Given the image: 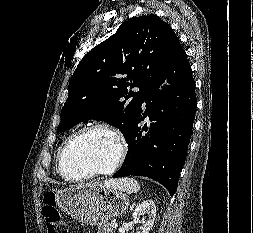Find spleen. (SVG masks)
I'll return each mask as SVG.
<instances>
[{"label":"spleen","instance_id":"obj_1","mask_svg":"<svg viewBox=\"0 0 253 233\" xmlns=\"http://www.w3.org/2000/svg\"><path fill=\"white\" fill-rule=\"evenodd\" d=\"M111 187L120 189L128 193H136L140 190V185L134 178H122L118 180H112Z\"/></svg>","mask_w":253,"mask_h":233}]
</instances>
